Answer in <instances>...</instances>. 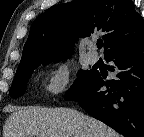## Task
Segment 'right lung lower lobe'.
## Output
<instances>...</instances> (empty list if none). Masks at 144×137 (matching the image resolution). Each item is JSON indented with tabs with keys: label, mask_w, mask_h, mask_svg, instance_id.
Returning <instances> with one entry per match:
<instances>
[{
	"label": "right lung lower lobe",
	"mask_w": 144,
	"mask_h": 137,
	"mask_svg": "<svg viewBox=\"0 0 144 137\" xmlns=\"http://www.w3.org/2000/svg\"><path fill=\"white\" fill-rule=\"evenodd\" d=\"M116 79L96 71L75 101L94 118L125 137H144V37L105 55Z\"/></svg>",
	"instance_id": "98d812e1"
}]
</instances>
